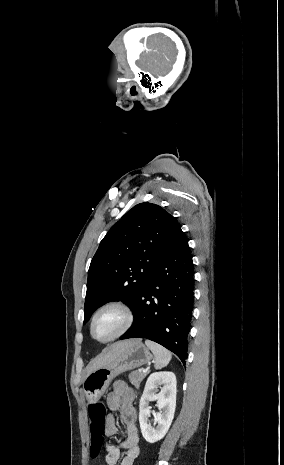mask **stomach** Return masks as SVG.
I'll return each mask as SVG.
<instances>
[{
  "label": "stomach",
  "instance_id": "obj_1",
  "mask_svg": "<svg viewBox=\"0 0 284 465\" xmlns=\"http://www.w3.org/2000/svg\"><path fill=\"white\" fill-rule=\"evenodd\" d=\"M152 359L153 355L140 341L128 343L127 349L123 353H119L114 361L87 375L83 381V391L88 403H98L107 391L112 379H115L117 375L147 365Z\"/></svg>",
  "mask_w": 284,
  "mask_h": 465
}]
</instances>
